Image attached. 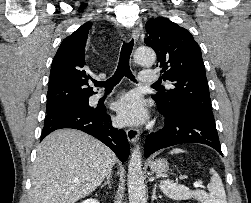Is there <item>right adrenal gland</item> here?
<instances>
[{"mask_svg":"<svg viewBox=\"0 0 251 203\" xmlns=\"http://www.w3.org/2000/svg\"><path fill=\"white\" fill-rule=\"evenodd\" d=\"M111 177H112V174H111V173L108 174V176H107V181L104 182V184L101 185V188H103V187L106 186V185H108V187L111 188V183H110Z\"/></svg>","mask_w":251,"mask_h":203,"instance_id":"1","label":"right adrenal gland"}]
</instances>
